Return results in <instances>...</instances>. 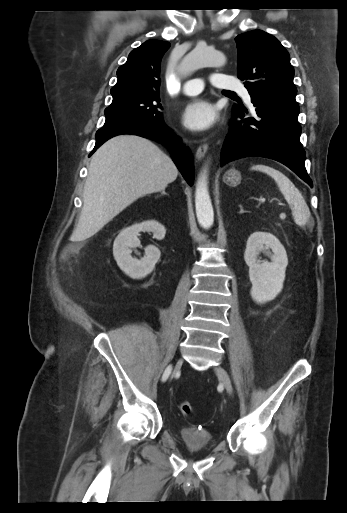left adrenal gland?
<instances>
[{"mask_svg":"<svg viewBox=\"0 0 347 513\" xmlns=\"http://www.w3.org/2000/svg\"><path fill=\"white\" fill-rule=\"evenodd\" d=\"M239 207H240V212H239L240 214H242V213L246 212V211H244V208H243V206H242V205H239Z\"/></svg>","mask_w":347,"mask_h":513,"instance_id":"left-adrenal-gland-1","label":"left adrenal gland"}]
</instances>
